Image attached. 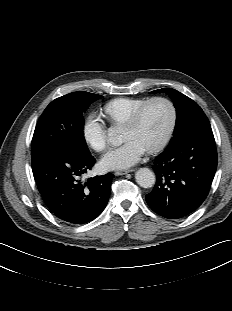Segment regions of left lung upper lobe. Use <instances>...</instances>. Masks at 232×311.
Returning a JSON list of instances; mask_svg holds the SVG:
<instances>
[{
	"label": "left lung upper lobe",
	"instance_id": "1",
	"mask_svg": "<svg viewBox=\"0 0 232 311\" xmlns=\"http://www.w3.org/2000/svg\"><path fill=\"white\" fill-rule=\"evenodd\" d=\"M150 93H167L174 102L177 119L170 144L188 131L209 123L203 110L189 97L172 88H162Z\"/></svg>",
	"mask_w": 232,
	"mask_h": 311
}]
</instances>
